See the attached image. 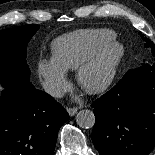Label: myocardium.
<instances>
[{"instance_id":"myocardium-1","label":"myocardium","mask_w":155,"mask_h":155,"mask_svg":"<svg viewBox=\"0 0 155 155\" xmlns=\"http://www.w3.org/2000/svg\"><path fill=\"white\" fill-rule=\"evenodd\" d=\"M110 54L109 66L104 79L88 85L86 76ZM125 55V49L116 38L103 44L97 52L78 67L76 80L79 86L89 94H98L106 90L114 81Z\"/></svg>"}]
</instances>
